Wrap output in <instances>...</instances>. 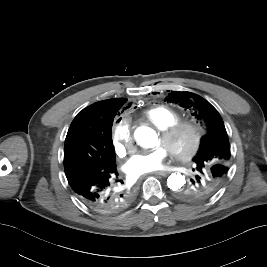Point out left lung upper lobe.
Wrapping results in <instances>:
<instances>
[{
    "label": "left lung upper lobe",
    "mask_w": 267,
    "mask_h": 267,
    "mask_svg": "<svg viewBox=\"0 0 267 267\" xmlns=\"http://www.w3.org/2000/svg\"><path fill=\"white\" fill-rule=\"evenodd\" d=\"M165 101L190 108L193 116L206 128V134L193 158L196 176L188 186L178 191L183 201H198L213 195L227 177L230 165V145L224 122L218 111L204 98L192 92H171Z\"/></svg>",
    "instance_id": "obj_1"
}]
</instances>
